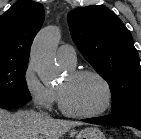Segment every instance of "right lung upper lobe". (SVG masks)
I'll return each mask as SVG.
<instances>
[{"label": "right lung upper lobe", "instance_id": "right-lung-upper-lobe-1", "mask_svg": "<svg viewBox=\"0 0 141 139\" xmlns=\"http://www.w3.org/2000/svg\"><path fill=\"white\" fill-rule=\"evenodd\" d=\"M43 21V5L30 0L14 3L1 15L0 61L28 62L30 47Z\"/></svg>", "mask_w": 141, "mask_h": 139}]
</instances>
